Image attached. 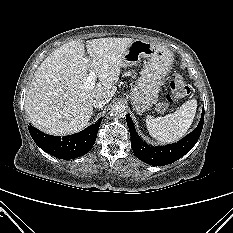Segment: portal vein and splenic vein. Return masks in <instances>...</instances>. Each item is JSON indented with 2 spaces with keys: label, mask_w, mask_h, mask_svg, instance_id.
I'll list each match as a JSON object with an SVG mask.
<instances>
[{
  "label": "portal vein and splenic vein",
  "mask_w": 233,
  "mask_h": 233,
  "mask_svg": "<svg viewBox=\"0 0 233 233\" xmlns=\"http://www.w3.org/2000/svg\"><path fill=\"white\" fill-rule=\"evenodd\" d=\"M88 59H85V63H88ZM95 79H96V73L94 70H91L90 73L88 74V77L85 81V87L86 88H92L95 85Z\"/></svg>",
  "instance_id": "obj_1"
}]
</instances>
